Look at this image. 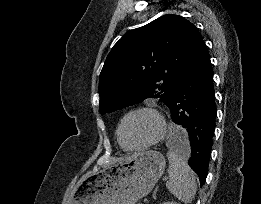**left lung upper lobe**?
Returning a JSON list of instances; mask_svg holds the SVG:
<instances>
[{"mask_svg": "<svg viewBox=\"0 0 261 204\" xmlns=\"http://www.w3.org/2000/svg\"><path fill=\"white\" fill-rule=\"evenodd\" d=\"M198 34L184 17L167 14L123 36L100 73L101 114L146 98L169 106Z\"/></svg>", "mask_w": 261, "mask_h": 204, "instance_id": "left-lung-upper-lobe-1", "label": "left lung upper lobe"}]
</instances>
